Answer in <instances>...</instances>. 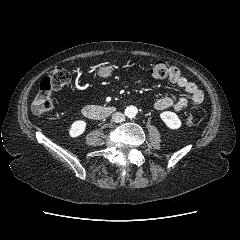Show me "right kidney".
Returning <instances> with one entry per match:
<instances>
[{
	"label": "right kidney",
	"mask_w": 240,
	"mask_h": 240,
	"mask_svg": "<svg viewBox=\"0 0 240 240\" xmlns=\"http://www.w3.org/2000/svg\"><path fill=\"white\" fill-rule=\"evenodd\" d=\"M85 129H86V122L83 120H77L74 123H72L69 129V134L73 138L78 137L84 133Z\"/></svg>",
	"instance_id": "obj_1"
}]
</instances>
